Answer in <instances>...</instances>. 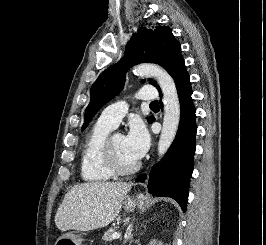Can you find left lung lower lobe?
Returning <instances> with one entry per match:
<instances>
[{
    "mask_svg": "<svg viewBox=\"0 0 266 245\" xmlns=\"http://www.w3.org/2000/svg\"><path fill=\"white\" fill-rule=\"evenodd\" d=\"M176 84L180 102V123L176 138L165 157L153 167L149 179V192L158 197L166 196L175 199L186 211L188 201L189 179L193 172V156L195 153V108L191 98L192 90L189 74L184 60L181 59L174 66L170 74ZM161 93V90L159 89ZM161 108L163 107L160 102ZM154 121L151 118L149 123ZM146 175H141L136 182L144 183Z\"/></svg>",
    "mask_w": 266,
    "mask_h": 245,
    "instance_id": "left-lung-lower-lobe-1",
    "label": "left lung lower lobe"
}]
</instances>
